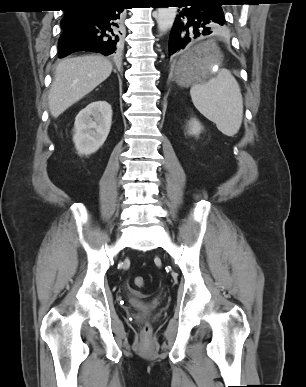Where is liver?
<instances>
[{"label": "liver", "mask_w": 306, "mask_h": 387, "mask_svg": "<svg viewBox=\"0 0 306 387\" xmlns=\"http://www.w3.org/2000/svg\"><path fill=\"white\" fill-rule=\"evenodd\" d=\"M111 62L103 56L84 55L65 58L55 71L48 104L53 117L78 102L105 81L112 72Z\"/></svg>", "instance_id": "liver-1"}]
</instances>
